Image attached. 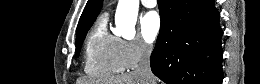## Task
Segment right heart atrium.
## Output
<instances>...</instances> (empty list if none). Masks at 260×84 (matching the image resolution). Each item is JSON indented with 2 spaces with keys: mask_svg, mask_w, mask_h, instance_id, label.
<instances>
[{
  "mask_svg": "<svg viewBox=\"0 0 260 84\" xmlns=\"http://www.w3.org/2000/svg\"><path fill=\"white\" fill-rule=\"evenodd\" d=\"M119 54L125 68L132 69L151 55V48L140 38L119 39Z\"/></svg>",
  "mask_w": 260,
  "mask_h": 84,
  "instance_id": "obj_1",
  "label": "right heart atrium"
}]
</instances>
